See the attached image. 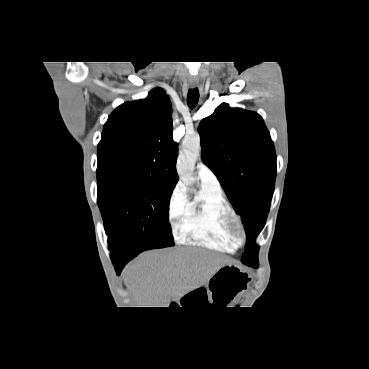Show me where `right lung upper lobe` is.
<instances>
[{
    "instance_id": "obj_1",
    "label": "right lung upper lobe",
    "mask_w": 369,
    "mask_h": 369,
    "mask_svg": "<svg viewBox=\"0 0 369 369\" xmlns=\"http://www.w3.org/2000/svg\"><path fill=\"white\" fill-rule=\"evenodd\" d=\"M177 151L170 101L155 88L147 98L123 103L109 116L97 148V169L138 172L175 186Z\"/></svg>"
}]
</instances>
